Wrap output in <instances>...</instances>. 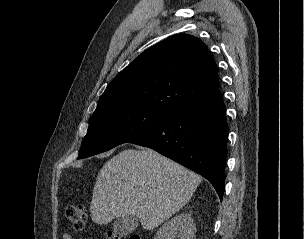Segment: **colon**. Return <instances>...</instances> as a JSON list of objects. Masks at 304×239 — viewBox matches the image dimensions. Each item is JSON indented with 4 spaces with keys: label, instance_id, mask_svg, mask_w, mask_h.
I'll use <instances>...</instances> for the list:
<instances>
[{
    "label": "colon",
    "instance_id": "5ec220e1",
    "mask_svg": "<svg viewBox=\"0 0 304 239\" xmlns=\"http://www.w3.org/2000/svg\"><path fill=\"white\" fill-rule=\"evenodd\" d=\"M67 219L75 230H83L87 222V210L82 205H69L65 211ZM104 239H141L139 235L134 234L129 237L118 235L113 231H106Z\"/></svg>",
    "mask_w": 304,
    "mask_h": 239
}]
</instances>
